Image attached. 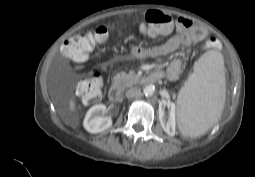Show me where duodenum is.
Instances as JSON below:
<instances>
[{
  "label": "duodenum",
  "mask_w": 255,
  "mask_h": 177,
  "mask_svg": "<svg viewBox=\"0 0 255 177\" xmlns=\"http://www.w3.org/2000/svg\"><path fill=\"white\" fill-rule=\"evenodd\" d=\"M162 74L160 72H151L141 78L144 84L156 83L161 80ZM109 98L112 102H119L121 99V91L118 86H112L109 89Z\"/></svg>",
  "instance_id": "duodenum-1"
}]
</instances>
